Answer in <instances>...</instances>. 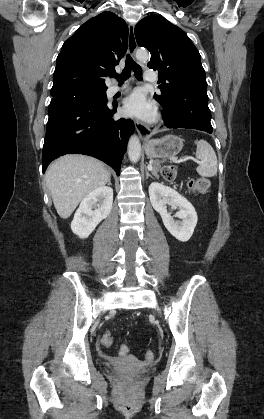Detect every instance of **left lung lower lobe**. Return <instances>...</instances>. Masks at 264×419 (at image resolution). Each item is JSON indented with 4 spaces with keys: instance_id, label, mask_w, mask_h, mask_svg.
<instances>
[{
    "instance_id": "left-lung-lower-lobe-1",
    "label": "left lung lower lobe",
    "mask_w": 264,
    "mask_h": 419,
    "mask_svg": "<svg viewBox=\"0 0 264 419\" xmlns=\"http://www.w3.org/2000/svg\"><path fill=\"white\" fill-rule=\"evenodd\" d=\"M155 99L164 107L162 116L168 128L197 129L212 133L206 89L195 88L174 100H166L155 94Z\"/></svg>"
}]
</instances>
